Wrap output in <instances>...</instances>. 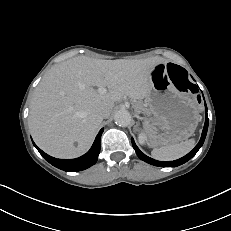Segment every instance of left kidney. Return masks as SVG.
<instances>
[{
    "instance_id": "1",
    "label": "left kidney",
    "mask_w": 231,
    "mask_h": 231,
    "mask_svg": "<svg viewBox=\"0 0 231 231\" xmlns=\"http://www.w3.org/2000/svg\"><path fill=\"white\" fill-rule=\"evenodd\" d=\"M138 141L141 145L145 144L146 136L143 133L139 134Z\"/></svg>"
}]
</instances>
